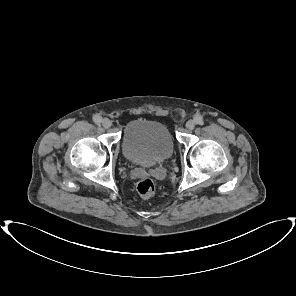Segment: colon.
<instances>
[{
	"instance_id": "obj_1",
	"label": "colon",
	"mask_w": 296,
	"mask_h": 296,
	"mask_svg": "<svg viewBox=\"0 0 296 296\" xmlns=\"http://www.w3.org/2000/svg\"><path fill=\"white\" fill-rule=\"evenodd\" d=\"M137 190L142 197L149 198L155 193V183L150 178H143L139 181Z\"/></svg>"
}]
</instances>
